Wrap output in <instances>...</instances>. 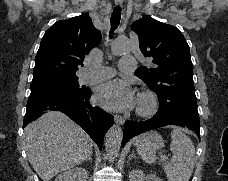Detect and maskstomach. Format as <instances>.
I'll list each match as a JSON object with an SVG mask.
<instances>
[{"label": "stomach", "mask_w": 228, "mask_h": 181, "mask_svg": "<svg viewBox=\"0 0 228 181\" xmlns=\"http://www.w3.org/2000/svg\"><path fill=\"white\" fill-rule=\"evenodd\" d=\"M137 143H142L146 149H149V151H159L161 147H164V141L158 133H155V131H151V133H145V135H141V137H138L136 139Z\"/></svg>", "instance_id": "obj_1"}]
</instances>
